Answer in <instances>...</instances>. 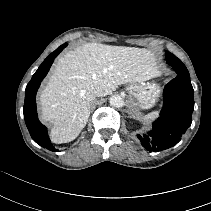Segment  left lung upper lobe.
<instances>
[{"instance_id":"1","label":"left lung upper lobe","mask_w":211,"mask_h":211,"mask_svg":"<svg viewBox=\"0 0 211 211\" xmlns=\"http://www.w3.org/2000/svg\"><path fill=\"white\" fill-rule=\"evenodd\" d=\"M166 55V60L167 63L173 67V69L175 71H186L188 72L187 68L185 67V65L180 61V59H178L175 55H173L172 53H170L169 51H166L165 53Z\"/></svg>"}]
</instances>
